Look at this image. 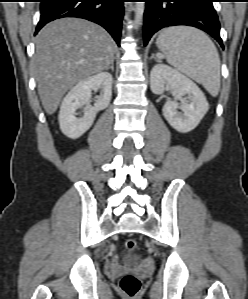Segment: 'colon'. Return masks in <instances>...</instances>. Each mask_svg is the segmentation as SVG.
<instances>
[{
  "label": "colon",
  "mask_w": 248,
  "mask_h": 299,
  "mask_svg": "<svg viewBox=\"0 0 248 299\" xmlns=\"http://www.w3.org/2000/svg\"><path fill=\"white\" fill-rule=\"evenodd\" d=\"M124 246L126 250L133 251L137 246V241L134 238H128L125 240ZM140 286V280L133 274H126L120 280V288L128 297L135 296L139 292Z\"/></svg>",
  "instance_id": "obj_1"
}]
</instances>
